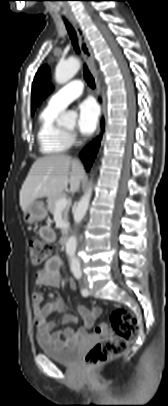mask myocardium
I'll use <instances>...</instances> for the list:
<instances>
[{
    "instance_id": "obj_1",
    "label": "myocardium",
    "mask_w": 168,
    "mask_h": 406,
    "mask_svg": "<svg viewBox=\"0 0 168 406\" xmlns=\"http://www.w3.org/2000/svg\"><path fill=\"white\" fill-rule=\"evenodd\" d=\"M68 132H72V130H68Z\"/></svg>"
}]
</instances>
